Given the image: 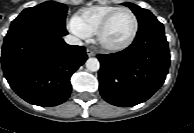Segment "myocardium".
Returning <instances> with one entry per match:
<instances>
[{"label": "myocardium", "mask_w": 194, "mask_h": 133, "mask_svg": "<svg viewBox=\"0 0 194 133\" xmlns=\"http://www.w3.org/2000/svg\"><path fill=\"white\" fill-rule=\"evenodd\" d=\"M120 12H128L132 15L133 17V20H134V28H133V31L130 35V37L120 43V44H111L109 45L110 47H113V48H122V47H125L127 46L128 44H130L133 39L135 38L136 36V33H137V30H138V19L136 17V15L130 10V9H127V8H123V9H119V10H116L115 12H113L106 20L105 24L103 25L101 31H100V35H102L104 33V31L107 29V27L109 26V24L112 22V20L120 13Z\"/></svg>", "instance_id": "f54148a6"}]
</instances>
